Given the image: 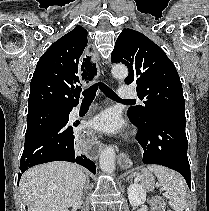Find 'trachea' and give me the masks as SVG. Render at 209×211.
Masks as SVG:
<instances>
[{"instance_id":"3493384b","label":"trachea","mask_w":209,"mask_h":211,"mask_svg":"<svg viewBox=\"0 0 209 211\" xmlns=\"http://www.w3.org/2000/svg\"><path fill=\"white\" fill-rule=\"evenodd\" d=\"M100 88L102 92L110 99L118 100V101H127V102H134L133 100H122L120 99L116 93L110 89L107 85L102 82L96 83L92 85L90 88L83 92L84 101H92L96 95V91Z\"/></svg>"}]
</instances>
